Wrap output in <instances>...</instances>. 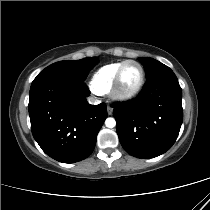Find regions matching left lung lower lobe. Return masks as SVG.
Here are the masks:
<instances>
[{"instance_id": "obj_1", "label": "left lung lower lobe", "mask_w": 210, "mask_h": 210, "mask_svg": "<svg viewBox=\"0 0 210 210\" xmlns=\"http://www.w3.org/2000/svg\"><path fill=\"white\" fill-rule=\"evenodd\" d=\"M112 107L120 143L132 156H159L171 148L179 134L182 90L171 69L148 79L134 99Z\"/></svg>"}]
</instances>
